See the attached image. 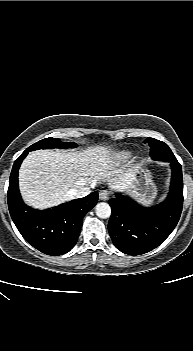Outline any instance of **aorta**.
Here are the masks:
<instances>
[{"instance_id":"obj_1","label":"aorta","mask_w":193,"mask_h":351,"mask_svg":"<svg viewBox=\"0 0 193 351\" xmlns=\"http://www.w3.org/2000/svg\"><path fill=\"white\" fill-rule=\"evenodd\" d=\"M95 212L99 218L106 219L111 215V207L106 202H100L96 205Z\"/></svg>"}]
</instances>
